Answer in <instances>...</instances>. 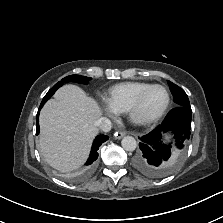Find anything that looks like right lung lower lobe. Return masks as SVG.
Listing matches in <instances>:
<instances>
[{
  "instance_id": "1",
  "label": "right lung lower lobe",
  "mask_w": 223,
  "mask_h": 223,
  "mask_svg": "<svg viewBox=\"0 0 223 223\" xmlns=\"http://www.w3.org/2000/svg\"><path fill=\"white\" fill-rule=\"evenodd\" d=\"M46 101L47 100H42L39 110H38V113H37V116H36V134L37 135L39 134V112ZM107 140H108V136H106V135H99L95 138L93 145H92L90 157L85 164V165H87V167L85 168L83 175H87L92 171L95 161L98 158L97 150L99 149L100 145Z\"/></svg>"
}]
</instances>
